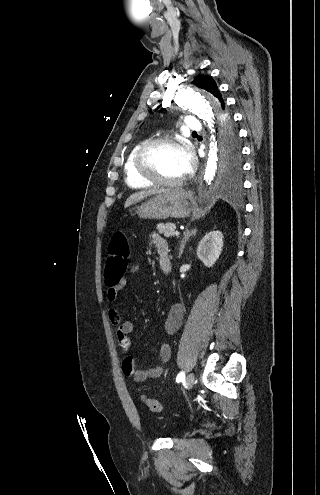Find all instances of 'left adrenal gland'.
<instances>
[{"label":"left adrenal gland","mask_w":320,"mask_h":495,"mask_svg":"<svg viewBox=\"0 0 320 495\" xmlns=\"http://www.w3.org/2000/svg\"><path fill=\"white\" fill-rule=\"evenodd\" d=\"M195 234H196V230H195V229H194V230H188V229H187V230L184 232V238H183V240H182V241H181V243H180V249H179V250H180V252H179V257H181V255H182V253H183V250H184V247H185V245H186L187 241H189V239H190L191 237L195 236Z\"/></svg>","instance_id":"left-adrenal-gland-1"}]
</instances>
